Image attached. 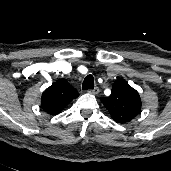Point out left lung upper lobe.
<instances>
[{"instance_id": "1", "label": "left lung upper lobe", "mask_w": 171, "mask_h": 171, "mask_svg": "<svg viewBox=\"0 0 171 171\" xmlns=\"http://www.w3.org/2000/svg\"><path fill=\"white\" fill-rule=\"evenodd\" d=\"M101 101L118 123L130 122L141 112L138 92L121 78L114 82L111 95Z\"/></svg>"}]
</instances>
